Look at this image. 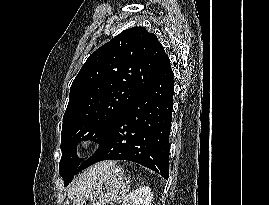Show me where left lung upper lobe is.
Wrapping results in <instances>:
<instances>
[{
    "mask_svg": "<svg viewBox=\"0 0 269 205\" xmlns=\"http://www.w3.org/2000/svg\"><path fill=\"white\" fill-rule=\"evenodd\" d=\"M168 59L157 36L144 27L121 32L88 57L71 85L63 116L59 173L65 186L82 161L76 155L77 143L100 141Z\"/></svg>",
    "mask_w": 269,
    "mask_h": 205,
    "instance_id": "5c2ea615",
    "label": "left lung upper lobe"
}]
</instances>
